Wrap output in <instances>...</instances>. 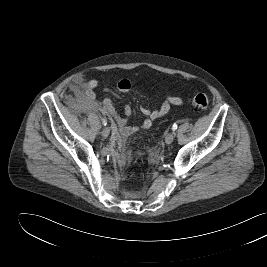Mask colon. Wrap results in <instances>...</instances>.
Segmentation results:
<instances>
[{
    "mask_svg": "<svg viewBox=\"0 0 267 267\" xmlns=\"http://www.w3.org/2000/svg\"><path fill=\"white\" fill-rule=\"evenodd\" d=\"M192 102L195 108H197L198 110H202V111L206 110L209 105V100L207 96L203 93H199L195 95Z\"/></svg>",
    "mask_w": 267,
    "mask_h": 267,
    "instance_id": "obj_1",
    "label": "colon"
}]
</instances>
